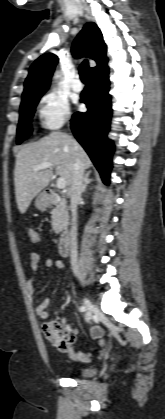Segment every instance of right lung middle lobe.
Instances as JSON below:
<instances>
[{
    "instance_id": "dd1d6c3e",
    "label": "right lung middle lobe",
    "mask_w": 165,
    "mask_h": 419,
    "mask_svg": "<svg viewBox=\"0 0 165 419\" xmlns=\"http://www.w3.org/2000/svg\"><path fill=\"white\" fill-rule=\"evenodd\" d=\"M42 95L43 93H40L21 102L20 118L17 128V144L23 142L31 134V119Z\"/></svg>"
}]
</instances>
